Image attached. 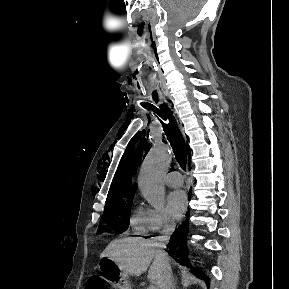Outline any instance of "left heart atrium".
Here are the masks:
<instances>
[{
    "label": "left heart atrium",
    "instance_id": "39dd6f15",
    "mask_svg": "<svg viewBox=\"0 0 289 289\" xmlns=\"http://www.w3.org/2000/svg\"><path fill=\"white\" fill-rule=\"evenodd\" d=\"M168 210L171 216L178 219L183 216L187 209L188 200L184 191L175 190L167 196Z\"/></svg>",
    "mask_w": 289,
    "mask_h": 289
}]
</instances>
